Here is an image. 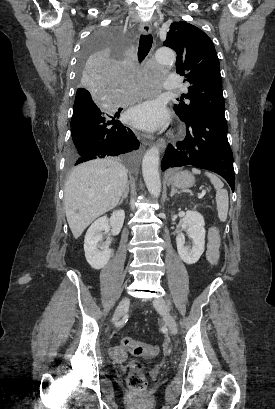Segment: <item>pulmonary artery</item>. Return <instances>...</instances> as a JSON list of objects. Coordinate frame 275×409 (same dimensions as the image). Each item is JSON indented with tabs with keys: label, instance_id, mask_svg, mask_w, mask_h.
Segmentation results:
<instances>
[{
	"label": "pulmonary artery",
	"instance_id": "1",
	"mask_svg": "<svg viewBox=\"0 0 275 409\" xmlns=\"http://www.w3.org/2000/svg\"><path fill=\"white\" fill-rule=\"evenodd\" d=\"M164 82L166 88H177L179 85L178 76L175 73H169Z\"/></svg>",
	"mask_w": 275,
	"mask_h": 409
}]
</instances>
